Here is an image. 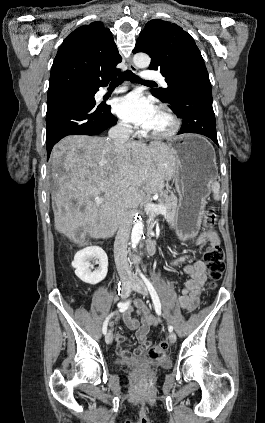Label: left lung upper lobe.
Returning a JSON list of instances; mask_svg holds the SVG:
<instances>
[{
	"instance_id": "obj_1",
	"label": "left lung upper lobe",
	"mask_w": 265,
	"mask_h": 423,
	"mask_svg": "<svg viewBox=\"0 0 265 423\" xmlns=\"http://www.w3.org/2000/svg\"><path fill=\"white\" fill-rule=\"evenodd\" d=\"M144 52L151 57L149 68L165 77L167 89H152V94L163 102L173 104L171 83L186 72L205 67L193 38L175 23L154 19L141 32L133 53Z\"/></svg>"
}]
</instances>
